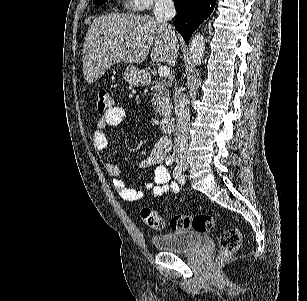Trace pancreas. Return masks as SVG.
Here are the masks:
<instances>
[{
	"mask_svg": "<svg viewBox=\"0 0 307 301\" xmlns=\"http://www.w3.org/2000/svg\"><path fill=\"white\" fill-rule=\"evenodd\" d=\"M148 88L153 92L155 114L169 112V108H171L172 104L167 84L161 82V80H152V82L148 84Z\"/></svg>",
	"mask_w": 307,
	"mask_h": 301,
	"instance_id": "obj_1",
	"label": "pancreas"
}]
</instances>
